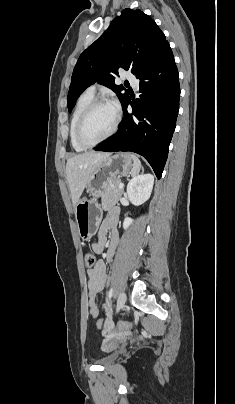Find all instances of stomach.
Segmentation results:
<instances>
[{
    "label": "stomach",
    "instance_id": "obj_1",
    "mask_svg": "<svg viewBox=\"0 0 235 404\" xmlns=\"http://www.w3.org/2000/svg\"><path fill=\"white\" fill-rule=\"evenodd\" d=\"M134 163L130 154H110L94 171L86 184V191L91 197L79 200L74 208L79 236L89 240L98 231L102 208L97 199L102 195L104 186L121 176L131 173Z\"/></svg>",
    "mask_w": 235,
    "mask_h": 404
}]
</instances>
